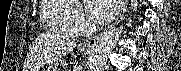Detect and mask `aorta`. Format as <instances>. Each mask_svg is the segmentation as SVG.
<instances>
[{
  "mask_svg": "<svg viewBox=\"0 0 181 71\" xmlns=\"http://www.w3.org/2000/svg\"><path fill=\"white\" fill-rule=\"evenodd\" d=\"M123 32V27L113 29L106 33L98 42L89 60L88 71H103L109 54L115 47Z\"/></svg>",
  "mask_w": 181,
  "mask_h": 71,
  "instance_id": "1",
  "label": "aorta"
}]
</instances>
